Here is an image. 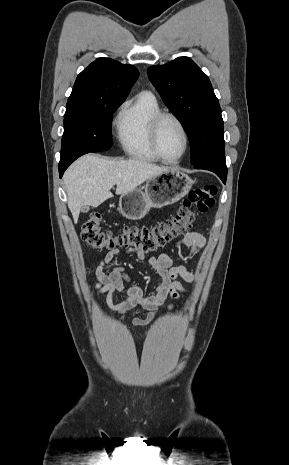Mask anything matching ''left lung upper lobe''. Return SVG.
<instances>
[{"label":"left lung upper lobe","mask_w":289,"mask_h":465,"mask_svg":"<svg viewBox=\"0 0 289 465\" xmlns=\"http://www.w3.org/2000/svg\"><path fill=\"white\" fill-rule=\"evenodd\" d=\"M147 74L188 135L191 164L227 172L221 108L208 76L188 57L152 66Z\"/></svg>","instance_id":"5c2ea615"}]
</instances>
